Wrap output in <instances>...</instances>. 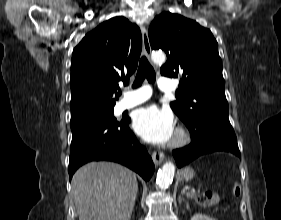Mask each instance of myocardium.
<instances>
[{
  "mask_svg": "<svg viewBox=\"0 0 281 220\" xmlns=\"http://www.w3.org/2000/svg\"><path fill=\"white\" fill-rule=\"evenodd\" d=\"M190 140L189 131L183 127L179 126L174 134L172 141L170 142V146L173 148H178L186 145Z\"/></svg>",
  "mask_w": 281,
  "mask_h": 220,
  "instance_id": "myocardium-1",
  "label": "myocardium"
}]
</instances>
